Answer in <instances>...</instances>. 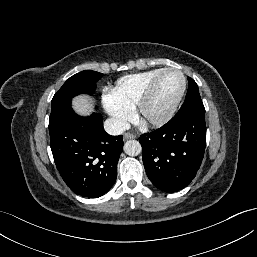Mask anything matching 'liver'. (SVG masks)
I'll list each match as a JSON object with an SVG mask.
<instances>
[{"label": "liver", "instance_id": "1", "mask_svg": "<svg viewBox=\"0 0 257 257\" xmlns=\"http://www.w3.org/2000/svg\"><path fill=\"white\" fill-rule=\"evenodd\" d=\"M72 107L78 114L88 115L92 112V101L86 96H79L73 100Z\"/></svg>", "mask_w": 257, "mask_h": 257}]
</instances>
